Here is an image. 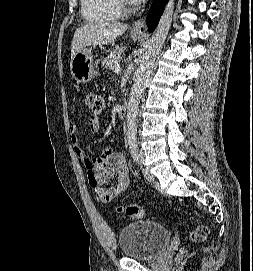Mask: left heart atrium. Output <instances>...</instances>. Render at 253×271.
Masks as SVG:
<instances>
[{"label":"left heart atrium","instance_id":"1","mask_svg":"<svg viewBox=\"0 0 253 271\" xmlns=\"http://www.w3.org/2000/svg\"><path fill=\"white\" fill-rule=\"evenodd\" d=\"M133 3L135 4H140L142 3L144 0H131Z\"/></svg>","mask_w":253,"mask_h":271}]
</instances>
